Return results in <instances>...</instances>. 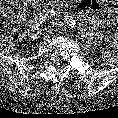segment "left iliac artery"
Here are the masks:
<instances>
[{
	"label": "left iliac artery",
	"instance_id": "obj_1",
	"mask_svg": "<svg viewBox=\"0 0 118 118\" xmlns=\"http://www.w3.org/2000/svg\"><path fill=\"white\" fill-rule=\"evenodd\" d=\"M64 22L67 23L70 27L75 28L76 27V21L73 19L72 16L65 15L64 16Z\"/></svg>",
	"mask_w": 118,
	"mask_h": 118
}]
</instances>
